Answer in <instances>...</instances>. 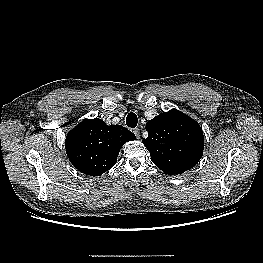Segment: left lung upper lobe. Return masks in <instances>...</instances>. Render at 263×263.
Returning a JSON list of instances; mask_svg holds the SVG:
<instances>
[{
  "instance_id": "5c2ea615",
  "label": "left lung upper lobe",
  "mask_w": 263,
  "mask_h": 263,
  "mask_svg": "<svg viewBox=\"0 0 263 263\" xmlns=\"http://www.w3.org/2000/svg\"><path fill=\"white\" fill-rule=\"evenodd\" d=\"M156 118L148 124L149 135L143 140L155 164L171 174H180L193 167L203 150L200 128L177 115Z\"/></svg>"
}]
</instances>
